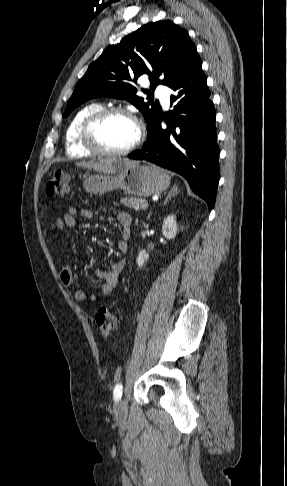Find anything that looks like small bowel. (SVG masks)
Listing matches in <instances>:
<instances>
[{
	"mask_svg": "<svg viewBox=\"0 0 287 486\" xmlns=\"http://www.w3.org/2000/svg\"><path fill=\"white\" fill-rule=\"evenodd\" d=\"M80 214L85 219H92L94 217V212L88 209L79 210L76 207H71L62 216L55 219V226L63 232L64 237H66V231L68 229H73L76 226V216ZM117 220L120 224V240L118 241L116 247L120 254H125L128 251V241L131 236V216L125 211L116 212ZM70 254L68 251L64 252V259L66 263L63 265L60 271V279L64 286L69 288H74L73 296L77 301L83 302H94L100 297L109 295L112 290L117 285L119 277L125 267L126 261L124 259H119L112 263L110 268H96L94 270L93 276L96 279L102 281L101 290L98 294H88L84 290L75 288V279L71 266L68 264Z\"/></svg>",
	"mask_w": 287,
	"mask_h": 486,
	"instance_id": "c3829d8e",
	"label": "small bowel"
}]
</instances>
